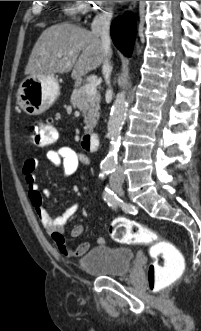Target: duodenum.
<instances>
[{"instance_id":"410a0bca","label":"duodenum","mask_w":201,"mask_h":331,"mask_svg":"<svg viewBox=\"0 0 201 331\" xmlns=\"http://www.w3.org/2000/svg\"><path fill=\"white\" fill-rule=\"evenodd\" d=\"M82 145L84 148L91 151H97L100 146V138L96 133H87L83 135Z\"/></svg>"}]
</instances>
